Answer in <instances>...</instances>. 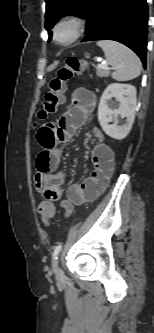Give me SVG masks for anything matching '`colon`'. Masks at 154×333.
Masks as SVG:
<instances>
[{"instance_id":"1","label":"colon","mask_w":154,"mask_h":333,"mask_svg":"<svg viewBox=\"0 0 154 333\" xmlns=\"http://www.w3.org/2000/svg\"><path fill=\"white\" fill-rule=\"evenodd\" d=\"M85 67V62L80 59L70 57L66 60L56 76L49 81L48 92L45 94L44 102L37 113L39 120H45L58 111L64 102L66 83L84 71ZM37 211L45 225H48L55 216V207L52 202L47 200L38 205Z\"/></svg>"}]
</instances>
